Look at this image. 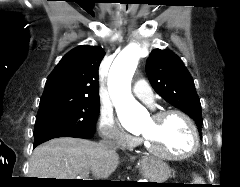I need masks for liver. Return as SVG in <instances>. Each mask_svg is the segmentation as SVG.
<instances>
[{"label": "liver", "instance_id": "6515ba94", "mask_svg": "<svg viewBox=\"0 0 240 187\" xmlns=\"http://www.w3.org/2000/svg\"><path fill=\"white\" fill-rule=\"evenodd\" d=\"M118 164L116 151L105 149L102 143L62 137L35 148L29 178L75 179L91 171L96 178L107 179Z\"/></svg>", "mask_w": 240, "mask_h": 187}]
</instances>
